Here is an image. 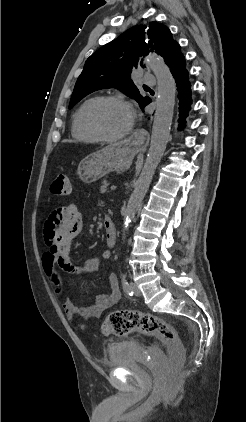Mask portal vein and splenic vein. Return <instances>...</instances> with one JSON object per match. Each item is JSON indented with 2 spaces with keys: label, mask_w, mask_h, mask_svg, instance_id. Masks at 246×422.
<instances>
[{
  "label": "portal vein and splenic vein",
  "mask_w": 246,
  "mask_h": 422,
  "mask_svg": "<svg viewBox=\"0 0 246 422\" xmlns=\"http://www.w3.org/2000/svg\"><path fill=\"white\" fill-rule=\"evenodd\" d=\"M115 189H116V186H112V187H111V190H115Z\"/></svg>",
  "instance_id": "portal-vein-and-splenic-vein-1"
}]
</instances>
